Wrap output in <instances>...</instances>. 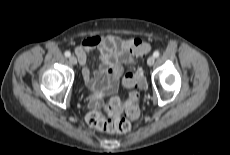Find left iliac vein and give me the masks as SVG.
I'll use <instances>...</instances> for the list:
<instances>
[{
	"label": "left iliac vein",
	"mask_w": 230,
	"mask_h": 155,
	"mask_svg": "<svg viewBox=\"0 0 230 155\" xmlns=\"http://www.w3.org/2000/svg\"><path fill=\"white\" fill-rule=\"evenodd\" d=\"M154 63H155V58H154V56H150V57L147 59V64H148L149 66H152Z\"/></svg>",
	"instance_id": "left-iliac-vein-1"
}]
</instances>
